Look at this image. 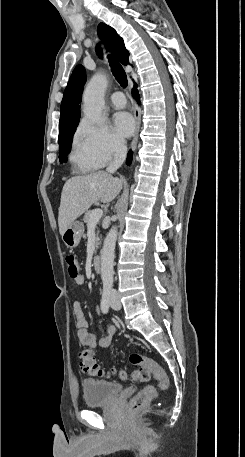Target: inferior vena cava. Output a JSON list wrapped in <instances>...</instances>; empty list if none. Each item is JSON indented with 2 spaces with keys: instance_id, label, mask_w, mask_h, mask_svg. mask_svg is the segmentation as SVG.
Wrapping results in <instances>:
<instances>
[{
  "instance_id": "inferior-vena-cava-1",
  "label": "inferior vena cava",
  "mask_w": 245,
  "mask_h": 457,
  "mask_svg": "<svg viewBox=\"0 0 245 457\" xmlns=\"http://www.w3.org/2000/svg\"><path fill=\"white\" fill-rule=\"evenodd\" d=\"M114 146H115V152L113 154L114 158H113L111 164H109V166H107V168H106L107 172H115V170H117V168H119V166H121V164H123V162L126 158L127 146L125 144V140H123V138H116V140L114 142Z\"/></svg>"
}]
</instances>
